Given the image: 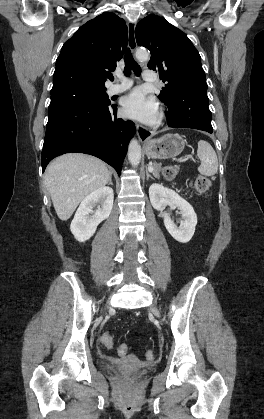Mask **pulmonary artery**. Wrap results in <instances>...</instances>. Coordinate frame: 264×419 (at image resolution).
Masks as SVG:
<instances>
[{
    "mask_svg": "<svg viewBox=\"0 0 264 419\" xmlns=\"http://www.w3.org/2000/svg\"><path fill=\"white\" fill-rule=\"evenodd\" d=\"M118 78L120 80V83L114 84L109 88V93L111 95L121 93L130 88L132 85V82L123 75L118 74ZM143 78L145 81L154 82L156 81V74L152 70H145L143 73Z\"/></svg>",
    "mask_w": 264,
    "mask_h": 419,
    "instance_id": "1",
    "label": "pulmonary artery"
}]
</instances>
